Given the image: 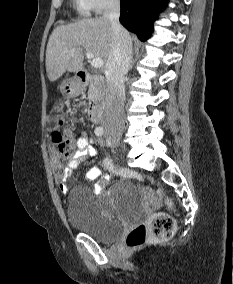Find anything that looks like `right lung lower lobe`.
Wrapping results in <instances>:
<instances>
[{
	"mask_svg": "<svg viewBox=\"0 0 233 284\" xmlns=\"http://www.w3.org/2000/svg\"><path fill=\"white\" fill-rule=\"evenodd\" d=\"M168 0H121L120 23L142 41L153 31V22Z\"/></svg>",
	"mask_w": 233,
	"mask_h": 284,
	"instance_id": "right-lung-lower-lobe-1",
	"label": "right lung lower lobe"
}]
</instances>
